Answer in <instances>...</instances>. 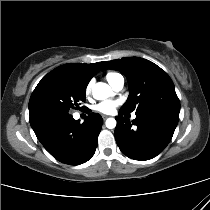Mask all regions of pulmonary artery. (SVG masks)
I'll list each match as a JSON object with an SVG mask.
<instances>
[{"instance_id": "obj_1", "label": "pulmonary artery", "mask_w": 210, "mask_h": 210, "mask_svg": "<svg viewBox=\"0 0 210 210\" xmlns=\"http://www.w3.org/2000/svg\"><path fill=\"white\" fill-rule=\"evenodd\" d=\"M114 90L119 91L123 88L124 86V78L122 76H119L114 80V82L111 84ZM136 115L133 114L132 118H135Z\"/></svg>"}]
</instances>
